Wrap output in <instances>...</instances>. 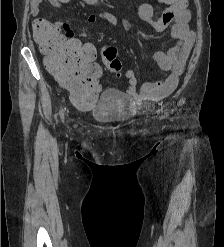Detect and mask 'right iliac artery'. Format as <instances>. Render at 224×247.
Listing matches in <instances>:
<instances>
[{"mask_svg":"<svg viewBox=\"0 0 224 247\" xmlns=\"http://www.w3.org/2000/svg\"><path fill=\"white\" fill-rule=\"evenodd\" d=\"M60 117L62 119V121L64 120V112H63V109L60 110Z\"/></svg>","mask_w":224,"mask_h":247,"instance_id":"obj_1","label":"right iliac artery"}]
</instances>
